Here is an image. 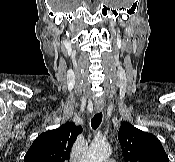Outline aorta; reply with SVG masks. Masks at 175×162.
I'll return each mask as SVG.
<instances>
[{"label":"aorta","instance_id":"aorta-1","mask_svg":"<svg viewBox=\"0 0 175 162\" xmlns=\"http://www.w3.org/2000/svg\"><path fill=\"white\" fill-rule=\"evenodd\" d=\"M112 152V148L105 142H93L83 162H103Z\"/></svg>","mask_w":175,"mask_h":162}]
</instances>
